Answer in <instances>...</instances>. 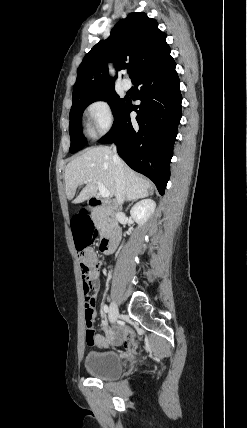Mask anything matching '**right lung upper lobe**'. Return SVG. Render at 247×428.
<instances>
[{"instance_id":"obj_1","label":"right lung upper lobe","mask_w":247,"mask_h":428,"mask_svg":"<svg viewBox=\"0 0 247 428\" xmlns=\"http://www.w3.org/2000/svg\"><path fill=\"white\" fill-rule=\"evenodd\" d=\"M166 33L158 29L155 19L144 12L130 13L119 21L106 40L97 43L84 57L73 87V101L86 95L114 88L108 61L116 70L131 68L132 82L147 70L161 64L170 56Z\"/></svg>"}]
</instances>
